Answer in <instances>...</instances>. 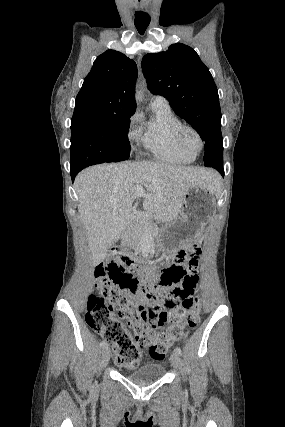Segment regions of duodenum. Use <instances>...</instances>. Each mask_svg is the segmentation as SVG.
Segmentation results:
<instances>
[{"label": "duodenum", "mask_w": 285, "mask_h": 427, "mask_svg": "<svg viewBox=\"0 0 285 427\" xmlns=\"http://www.w3.org/2000/svg\"><path fill=\"white\" fill-rule=\"evenodd\" d=\"M126 228L127 229H131V230H133L135 232H138V233H140V232L143 231L142 227L141 226H137V225H130V226H127Z\"/></svg>", "instance_id": "obj_1"}]
</instances>
